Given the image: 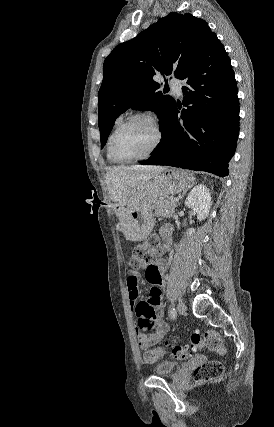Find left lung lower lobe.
I'll return each mask as SVG.
<instances>
[{
    "label": "left lung lower lobe",
    "mask_w": 274,
    "mask_h": 427,
    "mask_svg": "<svg viewBox=\"0 0 274 427\" xmlns=\"http://www.w3.org/2000/svg\"><path fill=\"white\" fill-rule=\"evenodd\" d=\"M182 109L174 101L166 113L162 140L143 165H167L229 174L239 132L237 85L230 59L217 36L209 39L181 76ZM178 114H181V116Z\"/></svg>",
    "instance_id": "1"
}]
</instances>
